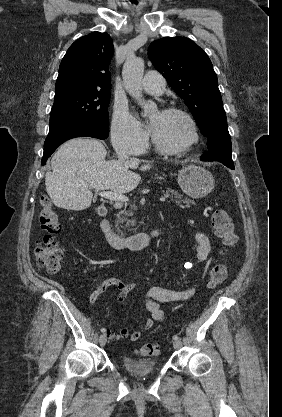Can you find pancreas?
I'll use <instances>...</instances> for the list:
<instances>
[{"label":"pancreas","instance_id":"1","mask_svg":"<svg viewBox=\"0 0 282 417\" xmlns=\"http://www.w3.org/2000/svg\"><path fill=\"white\" fill-rule=\"evenodd\" d=\"M165 194H168L171 200H175L176 204L181 206V209H185L183 202H186L187 209L190 204H195V200H190V198H187V196L179 194L178 190L167 188ZM131 215H134V213H131V211H121V213H118L117 215L116 223H125L126 227H128V225H135L136 221H134V219H128V217H131Z\"/></svg>","mask_w":282,"mask_h":417}]
</instances>
